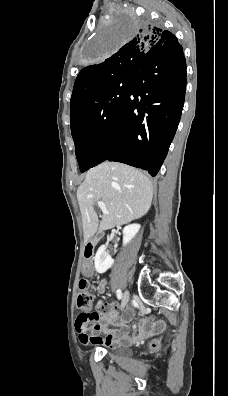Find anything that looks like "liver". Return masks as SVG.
<instances>
[{
  "label": "liver",
  "instance_id": "6515ba94",
  "mask_svg": "<svg viewBox=\"0 0 228 396\" xmlns=\"http://www.w3.org/2000/svg\"><path fill=\"white\" fill-rule=\"evenodd\" d=\"M153 198L152 183L141 171L118 162H104L88 170L78 187L84 241L144 216ZM103 201L110 214L99 222L94 204Z\"/></svg>",
  "mask_w": 228,
  "mask_h": 396
}]
</instances>
